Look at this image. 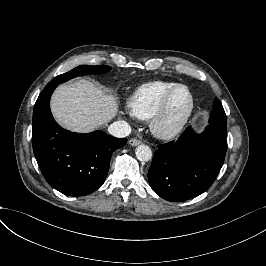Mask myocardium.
I'll return each mask as SVG.
<instances>
[{
    "label": "myocardium",
    "mask_w": 266,
    "mask_h": 266,
    "mask_svg": "<svg viewBox=\"0 0 266 266\" xmlns=\"http://www.w3.org/2000/svg\"><path fill=\"white\" fill-rule=\"evenodd\" d=\"M179 88H185L189 92V95L191 98L190 110L180 125H178L176 128L171 129V130H164L160 127V120L165 114L170 100L172 99V97L174 96V94ZM196 107H197L196 97H195V94L192 88L189 85L183 84V83L176 85L163 96V98L161 99V101L159 102V104L157 105L153 113L151 114L149 118V128H150L151 133L159 139H163V140L175 139L176 137L181 135L183 131L189 125L196 111Z\"/></svg>",
    "instance_id": "obj_1"
}]
</instances>
